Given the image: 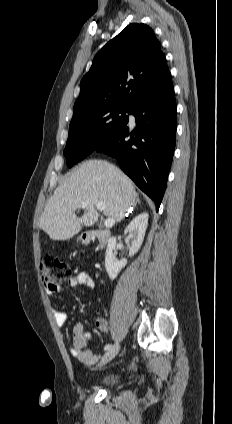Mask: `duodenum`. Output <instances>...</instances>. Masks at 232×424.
I'll use <instances>...</instances> for the list:
<instances>
[{"label":"duodenum","instance_id":"duodenum-1","mask_svg":"<svg viewBox=\"0 0 232 424\" xmlns=\"http://www.w3.org/2000/svg\"><path fill=\"white\" fill-rule=\"evenodd\" d=\"M111 233L109 230H94L86 235V241L96 240L99 249H103L110 239Z\"/></svg>","mask_w":232,"mask_h":424}]
</instances>
